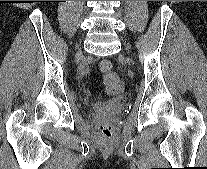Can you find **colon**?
Returning <instances> with one entry per match:
<instances>
[{"label":"colon","instance_id":"obj_1","mask_svg":"<svg viewBox=\"0 0 207 169\" xmlns=\"http://www.w3.org/2000/svg\"><path fill=\"white\" fill-rule=\"evenodd\" d=\"M103 85L106 92L112 96H119L124 92V83L113 69L112 64L104 60L100 64ZM97 134L103 141H110L114 137V128L108 122L101 123L97 128Z\"/></svg>","mask_w":207,"mask_h":169}]
</instances>
